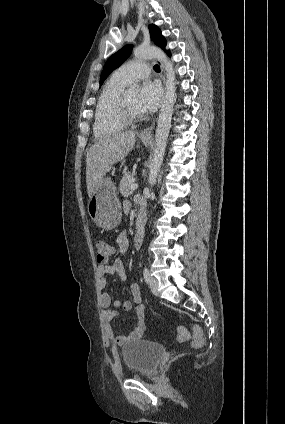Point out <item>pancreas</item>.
I'll return each mask as SVG.
<instances>
[{
	"label": "pancreas",
	"mask_w": 285,
	"mask_h": 424,
	"mask_svg": "<svg viewBox=\"0 0 285 424\" xmlns=\"http://www.w3.org/2000/svg\"><path fill=\"white\" fill-rule=\"evenodd\" d=\"M134 183V177L130 173H126L119 184V191L124 196H129L133 190H131V185Z\"/></svg>",
	"instance_id": "obj_1"
}]
</instances>
